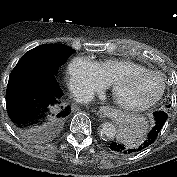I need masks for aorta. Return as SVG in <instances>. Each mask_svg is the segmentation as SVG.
Masks as SVG:
<instances>
[{
  "mask_svg": "<svg viewBox=\"0 0 177 177\" xmlns=\"http://www.w3.org/2000/svg\"><path fill=\"white\" fill-rule=\"evenodd\" d=\"M100 134L102 138L112 140L117 135V129L112 123L105 122L101 125Z\"/></svg>",
  "mask_w": 177,
  "mask_h": 177,
  "instance_id": "aorta-1",
  "label": "aorta"
}]
</instances>
